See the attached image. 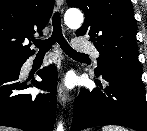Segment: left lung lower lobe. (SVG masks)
Returning a JSON list of instances; mask_svg holds the SVG:
<instances>
[{"mask_svg": "<svg viewBox=\"0 0 147 131\" xmlns=\"http://www.w3.org/2000/svg\"><path fill=\"white\" fill-rule=\"evenodd\" d=\"M99 88L81 89L74 106L71 131L102 125H121L136 131H147V102L141 79L104 69ZM97 74V76L99 75Z\"/></svg>", "mask_w": 147, "mask_h": 131, "instance_id": "0a47b994", "label": "left lung lower lobe"}]
</instances>
